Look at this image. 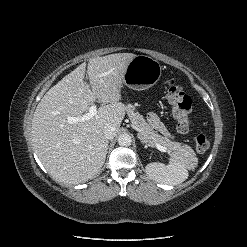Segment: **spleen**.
<instances>
[{"instance_id":"3e777b00","label":"spleen","mask_w":247,"mask_h":247,"mask_svg":"<svg viewBox=\"0 0 247 247\" xmlns=\"http://www.w3.org/2000/svg\"><path fill=\"white\" fill-rule=\"evenodd\" d=\"M197 162V159H186L176 157L171 159L168 165L160 162H151L146 166V173L152 180L169 185H177L184 182L188 176L190 163Z\"/></svg>"}]
</instances>
